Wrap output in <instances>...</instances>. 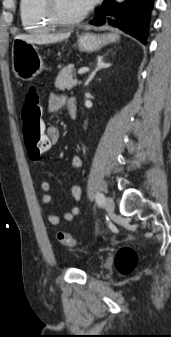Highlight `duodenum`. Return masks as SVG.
<instances>
[{"mask_svg":"<svg viewBox=\"0 0 171 337\" xmlns=\"http://www.w3.org/2000/svg\"><path fill=\"white\" fill-rule=\"evenodd\" d=\"M68 110H69L70 116H71L73 119H76V118H77V114H78V106H77V102H71V103L69 104Z\"/></svg>","mask_w":171,"mask_h":337,"instance_id":"duodenum-1","label":"duodenum"}]
</instances>
